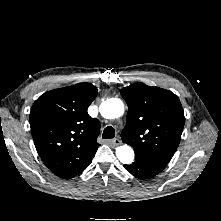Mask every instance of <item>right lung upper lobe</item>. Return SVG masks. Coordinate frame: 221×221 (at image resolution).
Returning a JSON list of instances; mask_svg holds the SVG:
<instances>
[{"label": "right lung upper lobe", "mask_w": 221, "mask_h": 221, "mask_svg": "<svg viewBox=\"0 0 221 221\" xmlns=\"http://www.w3.org/2000/svg\"><path fill=\"white\" fill-rule=\"evenodd\" d=\"M96 96L94 85L79 83L44 93L31 108L36 150L58 177L70 179L92 162L99 146L100 123L87 109Z\"/></svg>", "instance_id": "right-lung-upper-lobe-1"}]
</instances>
